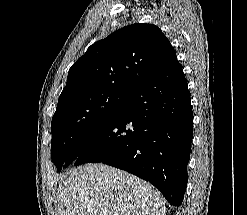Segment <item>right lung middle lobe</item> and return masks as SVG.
I'll return each instance as SVG.
<instances>
[{"label":"right lung middle lobe","mask_w":247,"mask_h":215,"mask_svg":"<svg viewBox=\"0 0 247 215\" xmlns=\"http://www.w3.org/2000/svg\"><path fill=\"white\" fill-rule=\"evenodd\" d=\"M131 95L101 91L86 96H68L58 103L51 122V157L58 171L69 165L66 159L79 139L117 115Z\"/></svg>","instance_id":"1"}]
</instances>
